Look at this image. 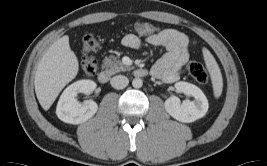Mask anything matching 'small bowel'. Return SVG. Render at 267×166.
Wrapping results in <instances>:
<instances>
[{"label":"small bowel","mask_w":267,"mask_h":166,"mask_svg":"<svg viewBox=\"0 0 267 166\" xmlns=\"http://www.w3.org/2000/svg\"><path fill=\"white\" fill-rule=\"evenodd\" d=\"M144 40L152 46L165 48V55L151 68V74L164 83H173L183 73L184 65L189 60V38L175 29H163L152 35H144ZM122 44L131 49H139L142 38L137 34H127Z\"/></svg>","instance_id":"small-bowel-1"}]
</instances>
